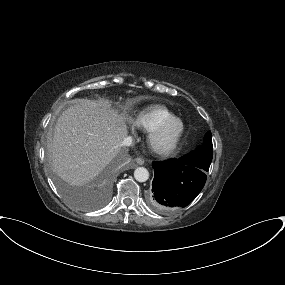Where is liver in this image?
<instances>
[{"label":"liver","mask_w":285,"mask_h":285,"mask_svg":"<svg viewBox=\"0 0 285 285\" xmlns=\"http://www.w3.org/2000/svg\"><path fill=\"white\" fill-rule=\"evenodd\" d=\"M126 121L125 113L101 100L70 106L58 118L49 148L54 171L73 185L93 180L119 152Z\"/></svg>","instance_id":"6515ba94"}]
</instances>
